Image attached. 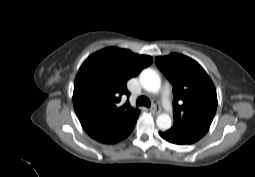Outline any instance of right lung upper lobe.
I'll list each match as a JSON object with an SVG mask.
<instances>
[{
    "label": "right lung upper lobe",
    "mask_w": 255,
    "mask_h": 177,
    "mask_svg": "<svg viewBox=\"0 0 255 177\" xmlns=\"http://www.w3.org/2000/svg\"><path fill=\"white\" fill-rule=\"evenodd\" d=\"M152 63L147 55L115 47L90 55L81 65L74 83L73 104L76 115L92 138H96L124 119L139 112L129 102L127 81Z\"/></svg>",
    "instance_id": "1"
}]
</instances>
